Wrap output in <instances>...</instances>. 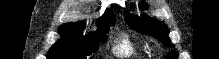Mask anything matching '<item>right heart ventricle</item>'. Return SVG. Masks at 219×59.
<instances>
[{"label":"right heart ventricle","mask_w":219,"mask_h":59,"mask_svg":"<svg viewBox=\"0 0 219 59\" xmlns=\"http://www.w3.org/2000/svg\"><path fill=\"white\" fill-rule=\"evenodd\" d=\"M114 54L120 58H131L136 55V48L127 35H123L115 44Z\"/></svg>","instance_id":"obj_1"}]
</instances>
